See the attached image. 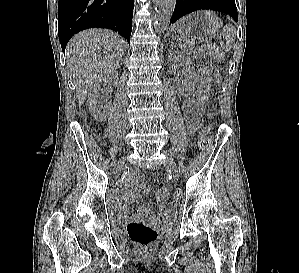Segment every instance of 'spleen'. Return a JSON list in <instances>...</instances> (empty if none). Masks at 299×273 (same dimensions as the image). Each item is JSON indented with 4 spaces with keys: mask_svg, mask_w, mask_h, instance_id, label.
I'll return each instance as SVG.
<instances>
[{
    "mask_svg": "<svg viewBox=\"0 0 299 273\" xmlns=\"http://www.w3.org/2000/svg\"><path fill=\"white\" fill-rule=\"evenodd\" d=\"M205 19L211 24L216 31L222 27L221 20L216 16L212 11H203ZM223 41L221 42V47L228 51L232 48L233 43L235 42L236 29L233 25H226L223 27L222 31Z\"/></svg>",
    "mask_w": 299,
    "mask_h": 273,
    "instance_id": "3e777b00",
    "label": "spleen"
}]
</instances>
